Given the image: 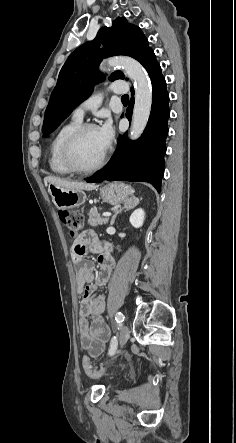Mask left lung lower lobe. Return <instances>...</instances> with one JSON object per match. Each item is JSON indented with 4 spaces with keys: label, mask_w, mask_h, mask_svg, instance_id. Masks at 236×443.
Returning <instances> with one entry per match:
<instances>
[{
    "label": "left lung lower lobe",
    "mask_w": 236,
    "mask_h": 443,
    "mask_svg": "<svg viewBox=\"0 0 236 443\" xmlns=\"http://www.w3.org/2000/svg\"><path fill=\"white\" fill-rule=\"evenodd\" d=\"M153 87L152 109L144 133L136 141L119 136V145L107 167L87 178V182L144 181L151 183L160 192L164 172L165 139L168 134L167 121L170 116L169 96L166 82L161 73L154 51L151 49L143 62ZM131 94H134L131 88ZM134 98H131L126 117L131 120ZM122 115L121 117H123Z\"/></svg>",
    "instance_id": "0a47b994"
}]
</instances>
